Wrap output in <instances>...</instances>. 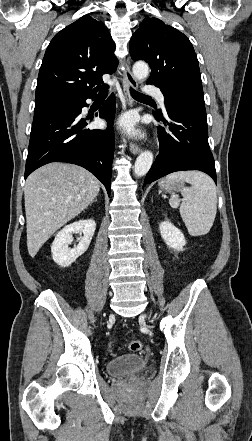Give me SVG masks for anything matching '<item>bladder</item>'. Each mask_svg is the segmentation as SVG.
Here are the masks:
<instances>
[{"instance_id": "obj_1", "label": "bladder", "mask_w": 252, "mask_h": 441, "mask_svg": "<svg viewBox=\"0 0 252 441\" xmlns=\"http://www.w3.org/2000/svg\"><path fill=\"white\" fill-rule=\"evenodd\" d=\"M146 368V359L136 354L119 356L106 363V372L115 377L139 373Z\"/></svg>"}]
</instances>
